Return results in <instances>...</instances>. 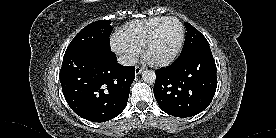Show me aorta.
<instances>
[{
  "label": "aorta",
  "instance_id": "1",
  "mask_svg": "<svg viewBox=\"0 0 276 138\" xmlns=\"http://www.w3.org/2000/svg\"><path fill=\"white\" fill-rule=\"evenodd\" d=\"M142 79L146 83H154L156 80V74L153 70H144L142 72Z\"/></svg>",
  "mask_w": 276,
  "mask_h": 138
}]
</instances>
